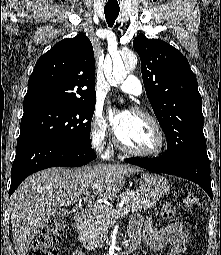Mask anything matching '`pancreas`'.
Segmentation results:
<instances>
[{
	"label": "pancreas",
	"instance_id": "pancreas-1",
	"mask_svg": "<svg viewBox=\"0 0 221 255\" xmlns=\"http://www.w3.org/2000/svg\"><path fill=\"white\" fill-rule=\"evenodd\" d=\"M120 200H124L130 213H134L138 210H146L155 206V202L144 198L139 192L134 190H127L124 192ZM119 203V200H117ZM114 209L108 207L107 210L97 212L85 222V226L88 227L91 235L88 238V247L93 248L97 244H101L107 237L109 228L115 223L118 216Z\"/></svg>",
	"mask_w": 221,
	"mask_h": 255
}]
</instances>
